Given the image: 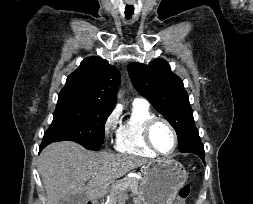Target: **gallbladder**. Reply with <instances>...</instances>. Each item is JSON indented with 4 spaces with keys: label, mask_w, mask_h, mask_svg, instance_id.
I'll return each mask as SVG.
<instances>
[{
    "label": "gallbladder",
    "mask_w": 253,
    "mask_h": 204,
    "mask_svg": "<svg viewBox=\"0 0 253 204\" xmlns=\"http://www.w3.org/2000/svg\"><path fill=\"white\" fill-rule=\"evenodd\" d=\"M86 201V194H76L70 195L67 199H63L60 204H85Z\"/></svg>",
    "instance_id": "gallbladder-1"
}]
</instances>
